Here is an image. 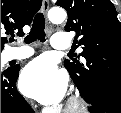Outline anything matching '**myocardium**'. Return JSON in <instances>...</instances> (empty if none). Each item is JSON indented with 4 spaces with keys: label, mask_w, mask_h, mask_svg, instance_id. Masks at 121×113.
<instances>
[{
    "label": "myocardium",
    "mask_w": 121,
    "mask_h": 113,
    "mask_svg": "<svg viewBox=\"0 0 121 113\" xmlns=\"http://www.w3.org/2000/svg\"><path fill=\"white\" fill-rule=\"evenodd\" d=\"M87 102L80 95L72 94L69 96L66 103V110H78V109H86Z\"/></svg>",
    "instance_id": "myocardium-1"
}]
</instances>
